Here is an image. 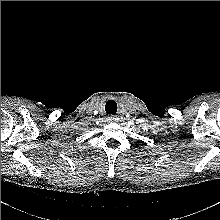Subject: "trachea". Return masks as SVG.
Segmentation results:
<instances>
[{"label":"trachea","instance_id":"obj_1","mask_svg":"<svg viewBox=\"0 0 220 220\" xmlns=\"http://www.w3.org/2000/svg\"><path fill=\"white\" fill-rule=\"evenodd\" d=\"M105 111L107 114L115 115L117 112V103L114 100L107 101Z\"/></svg>","mask_w":220,"mask_h":220}]
</instances>
